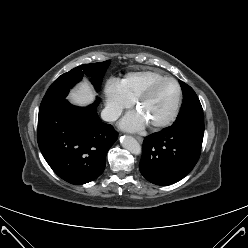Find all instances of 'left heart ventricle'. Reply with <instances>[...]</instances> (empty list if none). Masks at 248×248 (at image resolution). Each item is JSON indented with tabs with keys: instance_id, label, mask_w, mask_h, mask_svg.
<instances>
[{
	"instance_id": "1",
	"label": "left heart ventricle",
	"mask_w": 248,
	"mask_h": 248,
	"mask_svg": "<svg viewBox=\"0 0 248 248\" xmlns=\"http://www.w3.org/2000/svg\"><path fill=\"white\" fill-rule=\"evenodd\" d=\"M177 95V87L174 83H161L139 106V111L149 123L160 121L168 116L173 110Z\"/></svg>"
}]
</instances>
